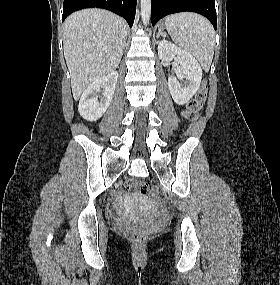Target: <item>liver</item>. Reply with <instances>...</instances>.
<instances>
[{
  "mask_svg": "<svg viewBox=\"0 0 280 285\" xmlns=\"http://www.w3.org/2000/svg\"><path fill=\"white\" fill-rule=\"evenodd\" d=\"M127 27L102 9H85L64 22L63 47L75 100L96 79L115 70L123 54Z\"/></svg>",
  "mask_w": 280,
  "mask_h": 285,
  "instance_id": "obj_1",
  "label": "liver"
}]
</instances>
